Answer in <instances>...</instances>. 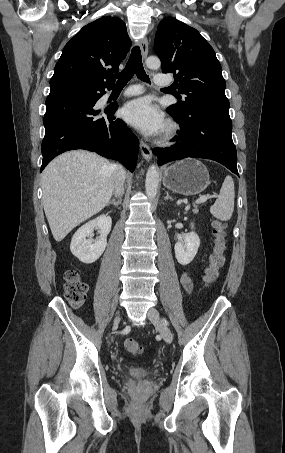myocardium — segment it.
<instances>
[{"instance_id":"1","label":"myocardium","mask_w":285,"mask_h":453,"mask_svg":"<svg viewBox=\"0 0 285 453\" xmlns=\"http://www.w3.org/2000/svg\"><path fill=\"white\" fill-rule=\"evenodd\" d=\"M179 127L176 123L169 121L165 124L159 142L161 144L171 143L178 135Z\"/></svg>"}]
</instances>
